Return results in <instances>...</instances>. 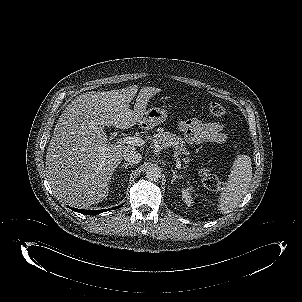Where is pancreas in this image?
<instances>
[{
	"instance_id": "obj_1",
	"label": "pancreas",
	"mask_w": 302,
	"mask_h": 302,
	"mask_svg": "<svg viewBox=\"0 0 302 302\" xmlns=\"http://www.w3.org/2000/svg\"><path fill=\"white\" fill-rule=\"evenodd\" d=\"M152 138L155 141H157L159 144L165 146H173L178 154L185 155L183 161L185 163H188L189 151L185 147L186 146L185 141L181 137L177 136L176 134L165 131L164 128H158L156 133L152 136Z\"/></svg>"
}]
</instances>
